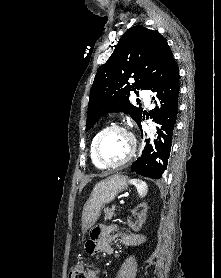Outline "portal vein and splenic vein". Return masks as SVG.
I'll list each match as a JSON object with an SVG mask.
<instances>
[{"instance_id":"1","label":"portal vein and splenic vein","mask_w":221,"mask_h":278,"mask_svg":"<svg viewBox=\"0 0 221 278\" xmlns=\"http://www.w3.org/2000/svg\"><path fill=\"white\" fill-rule=\"evenodd\" d=\"M120 204L123 205V204H124V201H123V200H120Z\"/></svg>"}]
</instances>
